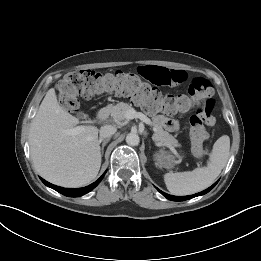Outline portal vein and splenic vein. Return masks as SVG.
<instances>
[{
  "label": "portal vein and splenic vein",
  "instance_id": "obj_1",
  "mask_svg": "<svg viewBox=\"0 0 261 261\" xmlns=\"http://www.w3.org/2000/svg\"><path fill=\"white\" fill-rule=\"evenodd\" d=\"M125 118L126 119L139 118L141 121L145 122L146 124H150L151 123L150 119L146 115H144L141 112H136L134 110V108H131L128 111H126ZM83 129H84V126H77L75 128L66 130V134L67 135H76L79 132H81Z\"/></svg>",
  "mask_w": 261,
  "mask_h": 261
}]
</instances>
